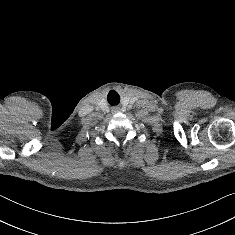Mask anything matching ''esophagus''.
Instances as JSON below:
<instances>
[{"label":"esophagus","mask_w":235,"mask_h":235,"mask_svg":"<svg viewBox=\"0 0 235 235\" xmlns=\"http://www.w3.org/2000/svg\"><path fill=\"white\" fill-rule=\"evenodd\" d=\"M112 111H113V112H117V111H118V108H114Z\"/></svg>","instance_id":"obj_1"}]
</instances>
